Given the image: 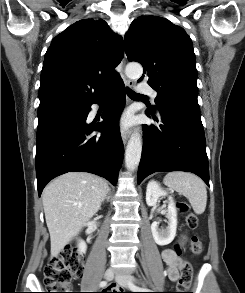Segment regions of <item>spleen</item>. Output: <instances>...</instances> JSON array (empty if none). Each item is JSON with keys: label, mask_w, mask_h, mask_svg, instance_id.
Instances as JSON below:
<instances>
[{"label": "spleen", "mask_w": 245, "mask_h": 293, "mask_svg": "<svg viewBox=\"0 0 245 293\" xmlns=\"http://www.w3.org/2000/svg\"><path fill=\"white\" fill-rule=\"evenodd\" d=\"M164 184L185 196L196 214H202L205 211L206 186L196 175L188 172H170L165 176Z\"/></svg>", "instance_id": "obj_1"}]
</instances>
